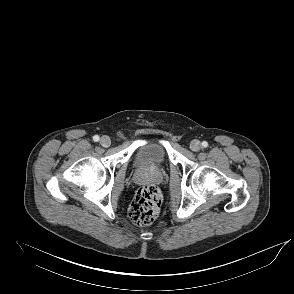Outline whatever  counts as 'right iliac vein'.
<instances>
[{
  "mask_svg": "<svg viewBox=\"0 0 294 294\" xmlns=\"http://www.w3.org/2000/svg\"><path fill=\"white\" fill-rule=\"evenodd\" d=\"M100 144L103 147H109L111 144V139L108 136H102L100 139Z\"/></svg>",
  "mask_w": 294,
  "mask_h": 294,
  "instance_id": "63e3f726",
  "label": "right iliac vein"
}]
</instances>
